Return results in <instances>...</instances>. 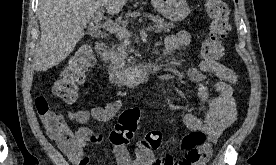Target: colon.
I'll return each mask as SVG.
<instances>
[{
  "instance_id": "colon-1",
  "label": "colon",
  "mask_w": 276,
  "mask_h": 165,
  "mask_svg": "<svg viewBox=\"0 0 276 165\" xmlns=\"http://www.w3.org/2000/svg\"><path fill=\"white\" fill-rule=\"evenodd\" d=\"M205 10L210 18L209 35L203 42L201 57L207 61H217L224 54V40L230 31V10L224 0H205ZM95 58L90 46L80 47L69 59L60 77L53 85V94L65 102L77 99L79 88L84 82V74L94 64ZM35 107L41 118L49 127V134L67 149H75L76 138L65 126L60 115L52 111L44 97L35 100ZM141 112L138 108L124 111L110 134L113 145H126L134 136ZM46 128V127H45ZM47 130V129H46ZM163 137L160 131L154 130L146 134L137 144V151L152 153L160 148ZM206 142V135L201 131L186 134L181 141V148L186 155L194 156Z\"/></svg>"
}]
</instances>
